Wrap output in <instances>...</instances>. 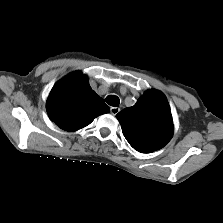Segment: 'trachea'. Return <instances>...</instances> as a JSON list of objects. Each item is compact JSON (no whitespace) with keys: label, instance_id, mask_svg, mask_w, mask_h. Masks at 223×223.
<instances>
[{"label":"trachea","instance_id":"3493384b","mask_svg":"<svg viewBox=\"0 0 223 223\" xmlns=\"http://www.w3.org/2000/svg\"><path fill=\"white\" fill-rule=\"evenodd\" d=\"M106 103L110 106L117 107L119 106L120 99L115 95H108L105 99Z\"/></svg>","mask_w":223,"mask_h":223}]
</instances>
